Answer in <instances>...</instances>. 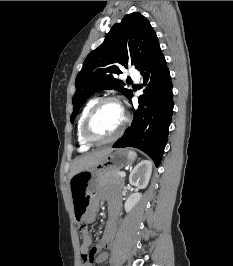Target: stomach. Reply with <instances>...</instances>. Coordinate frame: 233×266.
I'll return each instance as SVG.
<instances>
[{
  "instance_id": "stomach-1",
  "label": "stomach",
  "mask_w": 233,
  "mask_h": 266,
  "mask_svg": "<svg viewBox=\"0 0 233 266\" xmlns=\"http://www.w3.org/2000/svg\"><path fill=\"white\" fill-rule=\"evenodd\" d=\"M126 149L112 150L98 165L75 174L69 180L74 218L81 223L93 193L98 189L100 176L105 172L119 171L133 162Z\"/></svg>"
}]
</instances>
